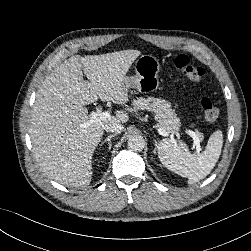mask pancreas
<instances>
[{"label":"pancreas","mask_w":251,"mask_h":251,"mask_svg":"<svg viewBox=\"0 0 251 251\" xmlns=\"http://www.w3.org/2000/svg\"><path fill=\"white\" fill-rule=\"evenodd\" d=\"M132 105L135 110H147L154 112L158 119V128L167 132L177 133L180 129V119L174 113L170 103L160 98H137L133 100Z\"/></svg>","instance_id":"pancreas-1"}]
</instances>
